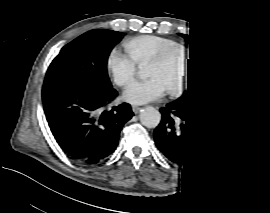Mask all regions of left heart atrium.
Listing matches in <instances>:
<instances>
[{
	"mask_svg": "<svg viewBox=\"0 0 270 213\" xmlns=\"http://www.w3.org/2000/svg\"><path fill=\"white\" fill-rule=\"evenodd\" d=\"M163 92V87L158 78L131 84L124 92V97L129 101L149 102L158 99Z\"/></svg>",
	"mask_w": 270,
	"mask_h": 213,
	"instance_id": "1",
	"label": "left heart atrium"
}]
</instances>
